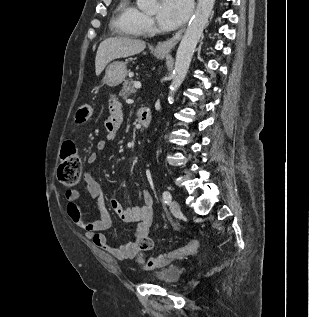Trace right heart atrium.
<instances>
[{"mask_svg":"<svg viewBox=\"0 0 309 317\" xmlns=\"http://www.w3.org/2000/svg\"><path fill=\"white\" fill-rule=\"evenodd\" d=\"M141 27L144 29H150L153 27V20L148 15L143 14L141 18Z\"/></svg>","mask_w":309,"mask_h":317,"instance_id":"1","label":"right heart atrium"}]
</instances>
